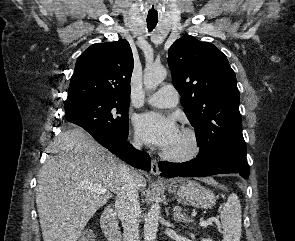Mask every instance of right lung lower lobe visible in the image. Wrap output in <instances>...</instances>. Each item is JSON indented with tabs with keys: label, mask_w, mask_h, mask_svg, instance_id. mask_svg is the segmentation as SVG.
I'll use <instances>...</instances> for the list:
<instances>
[{
	"label": "right lung lower lobe",
	"mask_w": 295,
	"mask_h": 241,
	"mask_svg": "<svg viewBox=\"0 0 295 241\" xmlns=\"http://www.w3.org/2000/svg\"><path fill=\"white\" fill-rule=\"evenodd\" d=\"M91 136L102 146L107 148L114 154L130 164L133 167L149 171L150 157L147 153L135 150L128 142H126L128 135L116 136L109 132L87 128L85 129Z\"/></svg>",
	"instance_id": "right-lung-lower-lobe-1"
}]
</instances>
